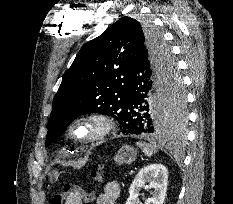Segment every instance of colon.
<instances>
[{
	"instance_id": "obj_1",
	"label": "colon",
	"mask_w": 233,
	"mask_h": 204,
	"mask_svg": "<svg viewBox=\"0 0 233 204\" xmlns=\"http://www.w3.org/2000/svg\"><path fill=\"white\" fill-rule=\"evenodd\" d=\"M102 174L103 169L99 168L91 173V177L94 181L99 182L102 179ZM86 199H90L88 193L76 185L66 183L62 192L54 196L52 204H82Z\"/></svg>"
}]
</instances>
